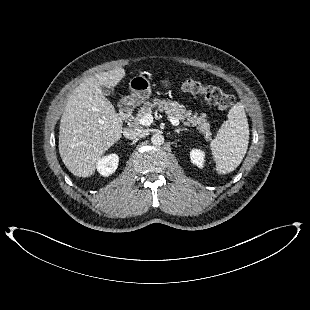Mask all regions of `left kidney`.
<instances>
[{"label": "left kidney", "mask_w": 310, "mask_h": 310, "mask_svg": "<svg viewBox=\"0 0 310 310\" xmlns=\"http://www.w3.org/2000/svg\"><path fill=\"white\" fill-rule=\"evenodd\" d=\"M204 158L205 153L198 149H193L190 152V159L193 164L198 166L199 168H203L204 166Z\"/></svg>", "instance_id": "5707ae66"}]
</instances>
